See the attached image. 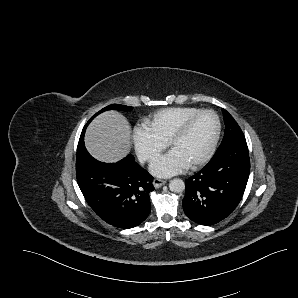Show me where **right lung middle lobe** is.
Here are the masks:
<instances>
[{"instance_id":"right-lung-middle-lobe-1","label":"right lung middle lobe","mask_w":298,"mask_h":298,"mask_svg":"<svg viewBox=\"0 0 298 298\" xmlns=\"http://www.w3.org/2000/svg\"><path fill=\"white\" fill-rule=\"evenodd\" d=\"M110 109H118V110H124V111H127V110H131L132 107L130 106H125V105H119V104H112V105H109L105 108H103L102 110H100L98 113H96L90 120L89 122L95 117L97 116L98 114H100L101 112H104L106 110H110ZM89 122L87 123V125L89 124ZM84 137V136H83ZM82 143L84 144L83 140H82Z\"/></svg>"}]
</instances>
